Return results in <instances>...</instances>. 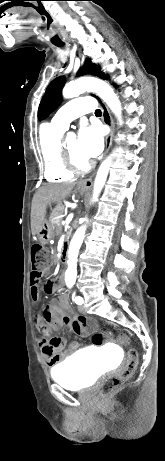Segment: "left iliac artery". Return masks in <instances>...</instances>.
Listing matches in <instances>:
<instances>
[{
  "instance_id": "1",
  "label": "left iliac artery",
  "mask_w": 165,
  "mask_h": 461,
  "mask_svg": "<svg viewBox=\"0 0 165 461\" xmlns=\"http://www.w3.org/2000/svg\"><path fill=\"white\" fill-rule=\"evenodd\" d=\"M75 303L81 305L83 303V299L80 296L75 297Z\"/></svg>"
}]
</instances>
